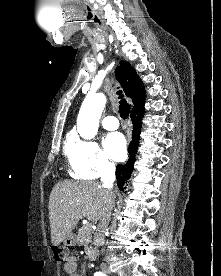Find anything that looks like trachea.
<instances>
[{
	"instance_id": "3493384b",
	"label": "trachea",
	"mask_w": 221,
	"mask_h": 276,
	"mask_svg": "<svg viewBox=\"0 0 221 276\" xmlns=\"http://www.w3.org/2000/svg\"><path fill=\"white\" fill-rule=\"evenodd\" d=\"M117 94L119 95L120 105H119V113L121 118L124 120L128 118L129 112H130V105L127 103V101L123 98L122 91H118Z\"/></svg>"
}]
</instances>
